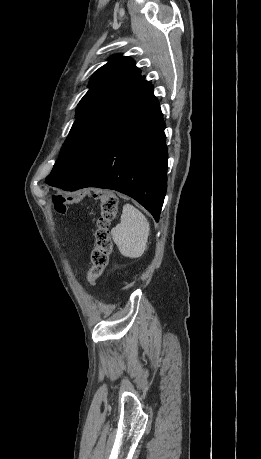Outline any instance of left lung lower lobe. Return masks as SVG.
<instances>
[{"label":"left lung lower lobe","instance_id":"1","mask_svg":"<svg viewBox=\"0 0 261 459\" xmlns=\"http://www.w3.org/2000/svg\"><path fill=\"white\" fill-rule=\"evenodd\" d=\"M164 128L152 94L93 158L57 187L117 190L137 200L158 221L167 188Z\"/></svg>","mask_w":261,"mask_h":459}]
</instances>
